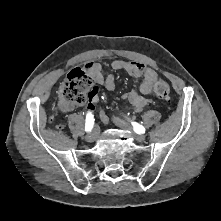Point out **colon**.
Instances as JSON below:
<instances>
[{
    "mask_svg": "<svg viewBox=\"0 0 221 221\" xmlns=\"http://www.w3.org/2000/svg\"><path fill=\"white\" fill-rule=\"evenodd\" d=\"M92 86V77L85 70L72 68L63 81L59 95L62 101L76 105L83 104L89 96L88 90ZM155 95L160 99H168L170 87L164 81H159L154 88Z\"/></svg>",
    "mask_w": 221,
    "mask_h": 221,
    "instance_id": "obj_1",
    "label": "colon"
}]
</instances>
